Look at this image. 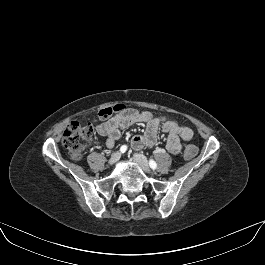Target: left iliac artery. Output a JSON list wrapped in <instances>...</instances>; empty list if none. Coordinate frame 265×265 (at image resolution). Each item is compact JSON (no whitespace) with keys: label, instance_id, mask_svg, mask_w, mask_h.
I'll return each mask as SVG.
<instances>
[{"label":"left iliac artery","instance_id":"44dca946","mask_svg":"<svg viewBox=\"0 0 265 265\" xmlns=\"http://www.w3.org/2000/svg\"><path fill=\"white\" fill-rule=\"evenodd\" d=\"M149 166L152 168V169H156L157 167V164L154 160H149Z\"/></svg>","mask_w":265,"mask_h":265}]
</instances>
